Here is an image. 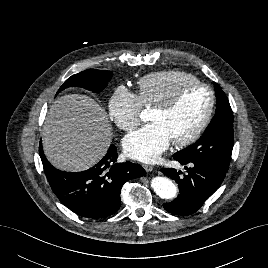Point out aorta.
<instances>
[{"label":"aorta","instance_id":"aorta-1","mask_svg":"<svg viewBox=\"0 0 268 268\" xmlns=\"http://www.w3.org/2000/svg\"><path fill=\"white\" fill-rule=\"evenodd\" d=\"M141 118H144V113H142ZM151 187L162 199H172L177 194V186L166 177H154L151 180Z\"/></svg>","mask_w":268,"mask_h":268}]
</instances>
